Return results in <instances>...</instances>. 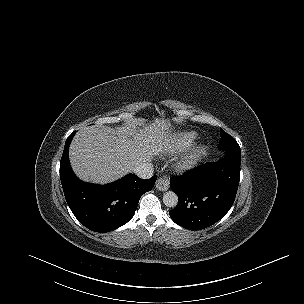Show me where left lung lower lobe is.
Returning <instances> with one entry per match:
<instances>
[{
    "label": "left lung lower lobe",
    "mask_w": 304,
    "mask_h": 304,
    "mask_svg": "<svg viewBox=\"0 0 304 304\" xmlns=\"http://www.w3.org/2000/svg\"><path fill=\"white\" fill-rule=\"evenodd\" d=\"M240 149L225 150L224 160L207 162L171 179L178 205L171 219L186 229L201 230L222 219L234 203L240 181Z\"/></svg>",
    "instance_id": "0a47b994"
}]
</instances>
